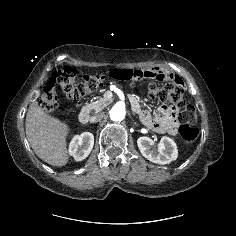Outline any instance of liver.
<instances>
[{
    "label": "liver",
    "instance_id": "liver-1",
    "mask_svg": "<svg viewBox=\"0 0 236 236\" xmlns=\"http://www.w3.org/2000/svg\"><path fill=\"white\" fill-rule=\"evenodd\" d=\"M27 139L36 155L53 166H64L69 161L66 137L69 126L50 116L36 101L29 106L26 123Z\"/></svg>",
    "mask_w": 236,
    "mask_h": 236
}]
</instances>
